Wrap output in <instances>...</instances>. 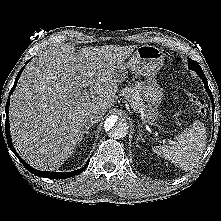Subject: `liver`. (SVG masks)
<instances>
[{
    "instance_id": "1",
    "label": "liver",
    "mask_w": 221,
    "mask_h": 221,
    "mask_svg": "<svg viewBox=\"0 0 221 221\" xmlns=\"http://www.w3.org/2000/svg\"><path fill=\"white\" fill-rule=\"evenodd\" d=\"M136 45L49 47L33 59L11 96L10 133L18 154L36 169L59 168L81 140L86 117L117 102V69ZM88 90L96 95L86 97Z\"/></svg>"
}]
</instances>
